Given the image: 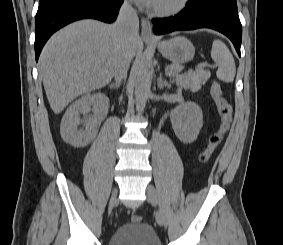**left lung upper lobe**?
<instances>
[{
  "label": "left lung upper lobe",
  "instance_id": "obj_1",
  "mask_svg": "<svg viewBox=\"0 0 283 245\" xmlns=\"http://www.w3.org/2000/svg\"><path fill=\"white\" fill-rule=\"evenodd\" d=\"M190 8H220L238 12L236 0H189Z\"/></svg>",
  "mask_w": 283,
  "mask_h": 245
}]
</instances>
